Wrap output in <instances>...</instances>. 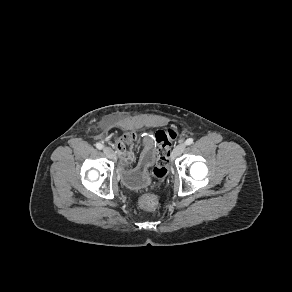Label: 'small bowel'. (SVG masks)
Wrapping results in <instances>:
<instances>
[{
  "instance_id": "c3829d8e",
  "label": "small bowel",
  "mask_w": 292,
  "mask_h": 292,
  "mask_svg": "<svg viewBox=\"0 0 292 292\" xmlns=\"http://www.w3.org/2000/svg\"><path fill=\"white\" fill-rule=\"evenodd\" d=\"M157 145L154 133L146 132L141 135L137 146L139 159L135 169L142 168L146 171L154 164L157 154ZM116 153L123 168L132 166L136 161V153L130 144L122 140L117 143Z\"/></svg>"
}]
</instances>
